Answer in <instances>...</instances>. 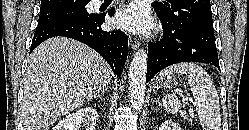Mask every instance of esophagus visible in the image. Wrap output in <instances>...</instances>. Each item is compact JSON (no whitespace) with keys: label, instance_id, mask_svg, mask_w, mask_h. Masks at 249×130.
Listing matches in <instances>:
<instances>
[{"label":"esophagus","instance_id":"obj_1","mask_svg":"<svg viewBox=\"0 0 249 130\" xmlns=\"http://www.w3.org/2000/svg\"><path fill=\"white\" fill-rule=\"evenodd\" d=\"M129 45L131 49L137 50L140 46V42L136 38L129 36Z\"/></svg>","mask_w":249,"mask_h":130}]
</instances>
